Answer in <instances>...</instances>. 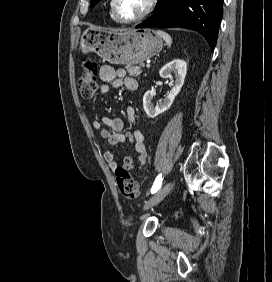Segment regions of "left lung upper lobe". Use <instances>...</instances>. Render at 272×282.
Returning <instances> with one entry per match:
<instances>
[{
    "instance_id": "1",
    "label": "left lung upper lobe",
    "mask_w": 272,
    "mask_h": 282,
    "mask_svg": "<svg viewBox=\"0 0 272 282\" xmlns=\"http://www.w3.org/2000/svg\"><path fill=\"white\" fill-rule=\"evenodd\" d=\"M100 0H91V7H94Z\"/></svg>"
}]
</instances>
